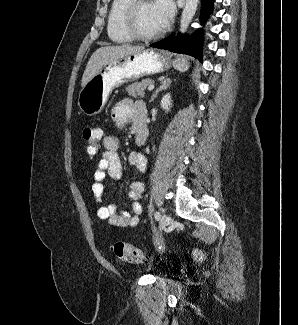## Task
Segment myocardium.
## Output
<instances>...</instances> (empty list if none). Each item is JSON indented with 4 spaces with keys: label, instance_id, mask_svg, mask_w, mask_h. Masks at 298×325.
<instances>
[{
    "label": "myocardium",
    "instance_id": "1",
    "mask_svg": "<svg viewBox=\"0 0 298 325\" xmlns=\"http://www.w3.org/2000/svg\"><path fill=\"white\" fill-rule=\"evenodd\" d=\"M145 1L149 0H128L126 5L124 6L120 17V24L123 32L128 35L132 40L141 42L153 41L159 38L164 33V29L153 34H141L136 30L133 24L134 12L136 8Z\"/></svg>",
    "mask_w": 298,
    "mask_h": 325
}]
</instances>
